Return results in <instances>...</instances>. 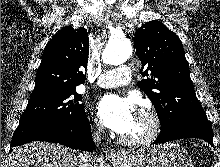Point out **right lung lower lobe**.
Wrapping results in <instances>:
<instances>
[{"instance_id":"98d812e1","label":"right lung lower lobe","mask_w":220,"mask_h":167,"mask_svg":"<svg viewBox=\"0 0 220 167\" xmlns=\"http://www.w3.org/2000/svg\"><path fill=\"white\" fill-rule=\"evenodd\" d=\"M92 140L90 123L84 111L78 118L71 121L45 120L21 124L12 137L11 147L31 141H50L73 149L91 152L95 149Z\"/></svg>"}]
</instances>
